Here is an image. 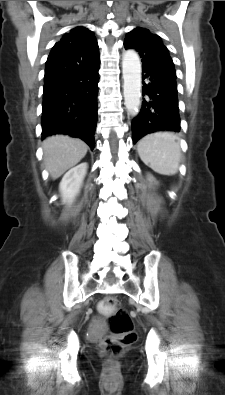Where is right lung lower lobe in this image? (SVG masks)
<instances>
[{
    "mask_svg": "<svg viewBox=\"0 0 225 395\" xmlns=\"http://www.w3.org/2000/svg\"><path fill=\"white\" fill-rule=\"evenodd\" d=\"M98 59L91 66L45 81L42 103V138L66 134L95 147L97 123Z\"/></svg>",
    "mask_w": 225,
    "mask_h": 395,
    "instance_id": "1",
    "label": "right lung lower lobe"
}]
</instances>
